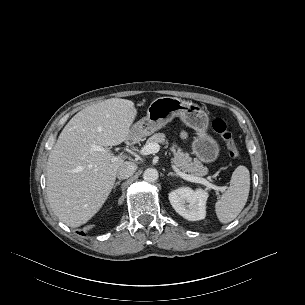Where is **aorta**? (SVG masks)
I'll return each instance as SVG.
<instances>
[{
    "instance_id": "aorta-1",
    "label": "aorta",
    "mask_w": 305,
    "mask_h": 305,
    "mask_svg": "<svg viewBox=\"0 0 305 305\" xmlns=\"http://www.w3.org/2000/svg\"><path fill=\"white\" fill-rule=\"evenodd\" d=\"M143 179L147 182H155L158 179V171L154 168H148L143 173Z\"/></svg>"
}]
</instances>
